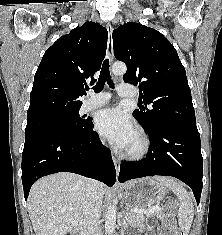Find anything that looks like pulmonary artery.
<instances>
[{
    "label": "pulmonary artery",
    "mask_w": 222,
    "mask_h": 235,
    "mask_svg": "<svg viewBox=\"0 0 222 235\" xmlns=\"http://www.w3.org/2000/svg\"><path fill=\"white\" fill-rule=\"evenodd\" d=\"M118 95L121 97H136L137 92L132 87L126 84H120L117 89ZM111 95L107 92H102L99 94L90 93L88 98L82 104V111L87 112L96 107H99L109 101Z\"/></svg>",
    "instance_id": "obj_1"
}]
</instances>
